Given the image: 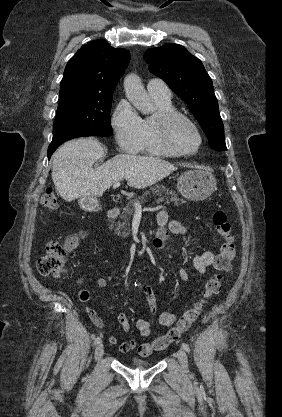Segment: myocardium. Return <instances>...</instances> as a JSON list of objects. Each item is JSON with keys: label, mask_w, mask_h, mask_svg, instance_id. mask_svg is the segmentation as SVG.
Segmentation results:
<instances>
[{"label": "myocardium", "mask_w": 282, "mask_h": 417, "mask_svg": "<svg viewBox=\"0 0 282 417\" xmlns=\"http://www.w3.org/2000/svg\"><path fill=\"white\" fill-rule=\"evenodd\" d=\"M175 122H181L189 128L198 139L197 146L200 145L202 141L201 134L194 123L185 115L176 110H159L153 116V125L162 144L173 154L189 155L193 153V150H188L176 145L170 137L169 131Z\"/></svg>", "instance_id": "obj_1"}]
</instances>
